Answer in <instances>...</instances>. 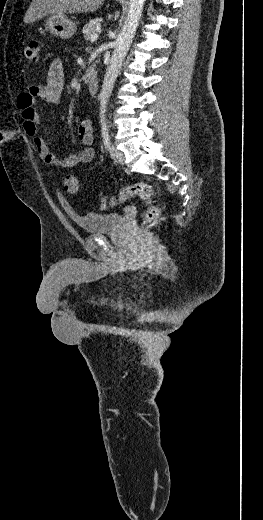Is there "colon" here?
I'll return each instance as SVG.
<instances>
[{
	"instance_id": "1",
	"label": "colon",
	"mask_w": 263,
	"mask_h": 520,
	"mask_svg": "<svg viewBox=\"0 0 263 520\" xmlns=\"http://www.w3.org/2000/svg\"><path fill=\"white\" fill-rule=\"evenodd\" d=\"M23 57L29 62H37L39 58V41L36 39L29 40L23 51ZM65 191L74 194L78 191V179L73 175H67L63 181ZM153 187L144 182H138L121 189L118 194L109 198L101 199L99 207L106 209L116 204L122 203L131 197H139L142 200H149L153 196ZM161 215V209L158 206H150L144 212V223H151Z\"/></svg>"
}]
</instances>
